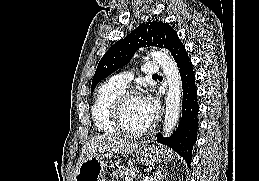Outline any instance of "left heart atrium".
Listing matches in <instances>:
<instances>
[{"instance_id":"1","label":"left heart atrium","mask_w":259,"mask_h":181,"mask_svg":"<svg viewBox=\"0 0 259 181\" xmlns=\"http://www.w3.org/2000/svg\"><path fill=\"white\" fill-rule=\"evenodd\" d=\"M139 102L143 108V110L152 118L155 117L158 111V103L157 100L149 95L145 94L139 97Z\"/></svg>"}]
</instances>
